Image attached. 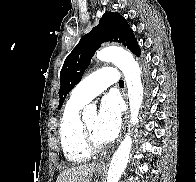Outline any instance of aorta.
Wrapping results in <instances>:
<instances>
[{
  "instance_id": "aorta-1",
  "label": "aorta",
  "mask_w": 196,
  "mask_h": 182,
  "mask_svg": "<svg viewBox=\"0 0 196 182\" xmlns=\"http://www.w3.org/2000/svg\"><path fill=\"white\" fill-rule=\"evenodd\" d=\"M96 57L101 61H112L122 70L128 88L130 124H137L139 122V109L143 100V86L141 83V72L138 63L128 51L114 47H108L98 51ZM84 113L96 114V106H86ZM131 147L132 138L128 133L112 157L107 173V182L119 181L127 166Z\"/></svg>"
}]
</instances>
